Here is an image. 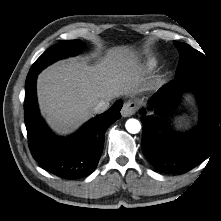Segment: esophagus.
Listing matches in <instances>:
<instances>
[{"instance_id": "1", "label": "esophagus", "mask_w": 221, "mask_h": 221, "mask_svg": "<svg viewBox=\"0 0 221 221\" xmlns=\"http://www.w3.org/2000/svg\"><path fill=\"white\" fill-rule=\"evenodd\" d=\"M137 111V104L133 100H128L124 103L121 114L123 117L132 116Z\"/></svg>"}]
</instances>
